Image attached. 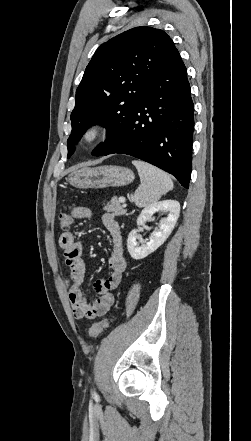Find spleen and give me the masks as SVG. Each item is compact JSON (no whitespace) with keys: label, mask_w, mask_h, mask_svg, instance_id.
<instances>
[{"label":"spleen","mask_w":251,"mask_h":441,"mask_svg":"<svg viewBox=\"0 0 251 441\" xmlns=\"http://www.w3.org/2000/svg\"><path fill=\"white\" fill-rule=\"evenodd\" d=\"M141 185L134 194V202L138 207H145L158 201L163 195L173 189L170 176L161 169L141 160H133Z\"/></svg>","instance_id":"3e777b00"}]
</instances>
